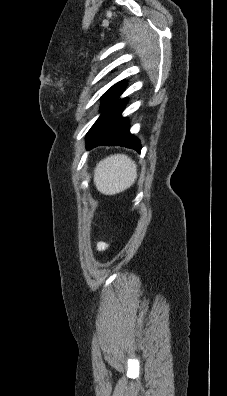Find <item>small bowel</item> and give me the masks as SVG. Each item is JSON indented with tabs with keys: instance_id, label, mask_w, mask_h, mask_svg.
<instances>
[{
	"instance_id": "1",
	"label": "small bowel",
	"mask_w": 227,
	"mask_h": 396,
	"mask_svg": "<svg viewBox=\"0 0 227 396\" xmlns=\"http://www.w3.org/2000/svg\"><path fill=\"white\" fill-rule=\"evenodd\" d=\"M107 247H108V245L105 242H99L97 244V250L98 251H104V250L107 249Z\"/></svg>"
}]
</instances>
